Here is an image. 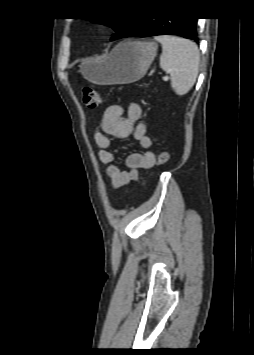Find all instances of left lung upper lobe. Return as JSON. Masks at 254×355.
Returning <instances> with one entry per match:
<instances>
[{"instance_id": "5c2ea615", "label": "left lung upper lobe", "mask_w": 254, "mask_h": 355, "mask_svg": "<svg viewBox=\"0 0 254 355\" xmlns=\"http://www.w3.org/2000/svg\"><path fill=\"white\" fill-rule=\"evenodd\" d=\"M90 20L111 26L116 31L111 40H115L121 38L129 31L136 18H99Z\"/></svg>"}]
</instances>
